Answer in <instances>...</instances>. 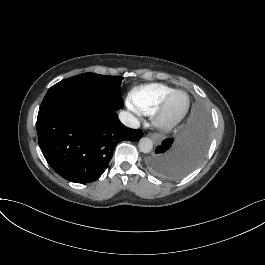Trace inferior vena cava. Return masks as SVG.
<instances>
[{"instance_id":"inferior-vena-cava-1","label":"inferior vena cava","mask_w":265,"mask_h":265,"mask_svg":"<svg viewBox=\"0 0 265 265\" xmlns=\"http://www.w3.org/2000/svg\"><path fill=\"white\" fill-rule=\"evenodd\" d=\"M119 120L121 121L122 124H124L127 127L134 129L140 127L139 120L128 111H121L119 113Z\"/></svg>"}]
</instances>
